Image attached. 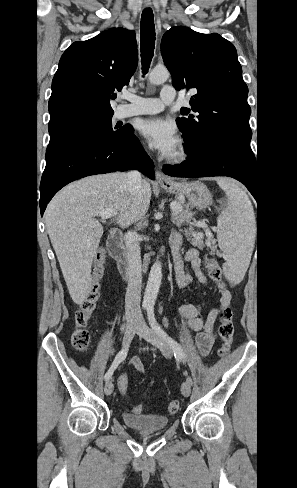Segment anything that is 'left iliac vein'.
<instances>
[{
	"label": "left iliac vein",
	"mask_w": 297,
	"mask_h": 488,
	"mask_svg": "<svg viewBox=\"0 0 297 488\" xmlns=\"http://www.w3.org/2000/svg\"><path fill=\"white\" fill-rule=\"evenodd\" d=\"M137 334L143 337L146 341L150 342L152 345L156 346L166 358H171L173 351L169 343L160 336L156 331L150 329L143 318H140L137 323L136 328ZM190 381L183 382L181 386V392L184 397H188L191 393Z\"/></svg>",
	"instance_id": "left-iliac-vein-1"
}]
</instances>
